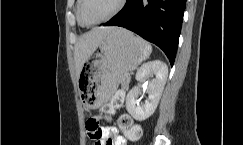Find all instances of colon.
Instances as JSON below:
<instances>
[{
	"label": "colon",
	"mask_w": 243,
	"mask_h": 145,
	"mask_svg": "<svg viewBox=\"0 0 243 145\" xmlns=\"http://www.w3.org/2000/svg\"><path fill=\"white\" fill-rule=\"evenodd\" d=\"M123 102L124 95L122 93H116L111 101L103 106L102 112L105 114H113L114 110L121 107ZM118 125L130 140H138L141 137L142 131L140 126L135 124L129 115H121L118 119ZM86 129L89 135L94 138H99L100 126L98 118L90 117L86 122Z\"/></svg>",
	"instance_id": "5ec220e1"
}]
</instances>
